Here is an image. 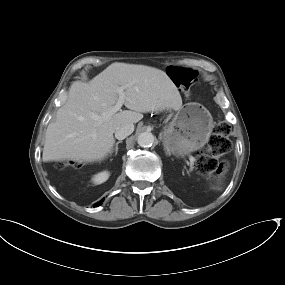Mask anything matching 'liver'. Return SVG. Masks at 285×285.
Returning a JSON list of instances; mask_svg holds the SVG:
<instances>
[{
  "label": "liver",
  "mask_w": 285,
  "mask_h": 285,
  "mask_svg": "<svg viewBox=\"0 0 285 285\" xmlns=\"http://www.w3.org/2000/svg\"><path fill=\"white\" fill-rule=\"evenodd\" d=\"M118 87L124 88V105L130 110L113 113ZM182 107L177 87L157 68L113 63L89 83H72L68 99L56 113L45 133L42 159L95 162L111 153L116 128L137 123L143 112ZM99 116L100 119H95Z\"/></svg>",
  "instance_id": "1"
}]
</instances>
